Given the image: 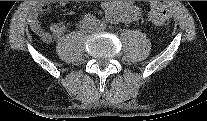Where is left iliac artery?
<instances>
[{
  "label": "left iliac artery",
  "mask_w": 207,
  "mask_h": 121,
  "mask_svg": "<svg viewBox=\"0 0 207 121\" xmlns=\"http://www.w3.org/2000/svg\"><path fill=\"white\" fill-rule=\"evenodd\" d=\"M99 26H100L101 29H105L106 28L105 22H99Z\"/></svg>",
  "instance_id": "left-iliac-artery-1"
}]
</instances>
